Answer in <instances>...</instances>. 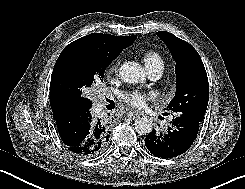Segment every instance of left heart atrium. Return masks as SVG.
Listing matches in <instances>:
<instances>
[{"label":"left heart atrium","instance_id":"left-heart-atrium-1","mask_svg":"<svg viewBox=\"0 0 245 189\" xmlns=\"http://www.w3.org/2000/svg\"><path fill=\"white\" fill-rule=\"evenodd\" d=\"M147 99L148 95L138 89H131L122 94V100L135 108L144 106Z\"/></svg>","mask_w":245,"mask_h":189}]
</instances>
